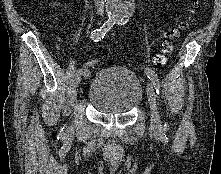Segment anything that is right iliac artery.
I'll list each match as a JSON object with an SVG mask.
<instances>
[{"label":"right iliac artery","instance_id":"1","mask_svg":"<svg viewBox=\"0 0 221 174\" xmlns=\"http://www.w3.org/2000/svg\"><path fill=\"white\" fill-rule=\"evenodd\" d=\"M114 24H115L114 20L112 19L107 20L99 29H96L91 32L90 36L91 40L97 42L103 39L106 33L113 27ZM81 72L86 78L90 77V71L88 69L84 68L81 70Z\"/></svg>","mask_w":221,"mask_h":174}]
</instances>
